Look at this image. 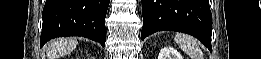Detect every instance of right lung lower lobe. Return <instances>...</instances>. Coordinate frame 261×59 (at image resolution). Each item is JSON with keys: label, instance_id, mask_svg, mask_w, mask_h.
Here are the masks:
<instances>
[{"label": "right lung lower lobe", "instance_id": "1", "mask_svg": "<svg viewBox=\"0 0 261 59\" xmlns=\"http://www.w3.org/2000/svg\"><path fill=\"white\" fill-rule=\"evenodd\" d=\"M110 0H46L40 38L47 41L63 36H82L105 46V17Z\"/></svg>", "mask_w": 261, "mask_h": 59}]
</instances>
